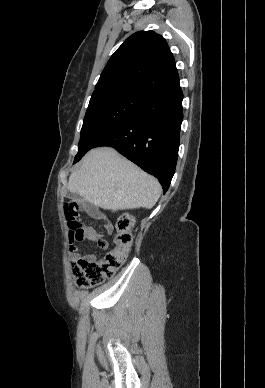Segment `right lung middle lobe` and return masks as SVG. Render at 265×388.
Returning a JSON list of instances; mask_svg holds the SVG:
<instances>
[{
	"label": "right lung middle lobe",
	"mask_w": 265,
	"mask_h": 388,
	"mask_svg": "<svg viewBox=\"0 0 265 388\" xmlns=\"http://www.w3.org/2000/svg\"><path fill=\"white\" fill-rule=\"evenodd\" d=\"M146 98L120 91L93 93L83 121L78 153V162L94 145L115 127L131 116Z\"/></svg>",
	"instance_id": "dd1d6c3e"
}]
</instances>
